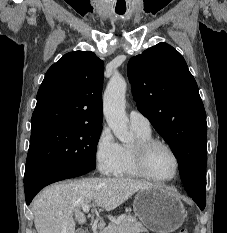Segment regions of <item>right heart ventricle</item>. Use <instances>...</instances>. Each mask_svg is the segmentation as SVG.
I'll list each match as a JSON object with an SVG mask.
<instances>
[{"label": "right heart ventricle", "instance_id": "obj_1", "mask_svg": "<svg viewBox=\"0 0 227 233\" xmlns=\"http://www.w3.org/2000/svg\"><path fill=\"white\" fill-rule=\"evenodd\" d=\"M134 130L136 132L138 141L153 139L151 132H143L136 129ZM133 147L134 146H129V145L121 146V151H122L121 165L116 175L126 176V177H142L140 173L137 171L134 164L133 152H132Z\"/></svg>", "mask_w": 227, "mask_h": 233}]
</instances>
